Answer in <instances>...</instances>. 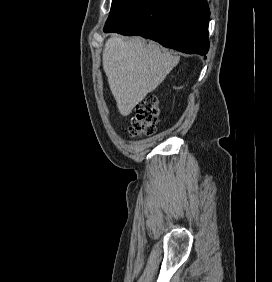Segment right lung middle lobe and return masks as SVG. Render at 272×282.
<instances>
[{
  "label": "right lung middle lobe",
  "mask_w": 272,
  "mask_h": 282,
  "mask_svg": "<svg viewBox=\"0 0 272 282\" xmlns=\"http://www.w3.org/2000/svg\"><path fill=\"white\" fill-rule=\"evenodd\" d=\"M138 0H113L109 17L106 21L105 27L117 20L130 7H132Z\"/></svg>",
  "instance_id": "obj_1"
}]
</instances>
